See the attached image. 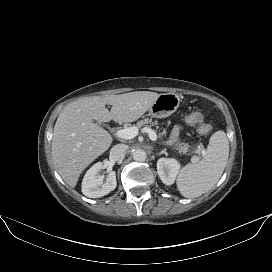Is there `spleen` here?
<instances>
[{"label":"spleen","mask_w":272,"mask_h":272,"mask_svg":"<svg viewBox=\"0 0 272 272\" xmlns=\"http://www.w3.org/2000/svg\"><path fill=\"white\" fill-rule=\"evenodd\" d=\"M228 156V138L219 130L211 136L203 159L185 165L179 172L177 188L182 196L195 198L209 191L222 176Z\"/></svg>","instance_id":"1"}]
</instances>
